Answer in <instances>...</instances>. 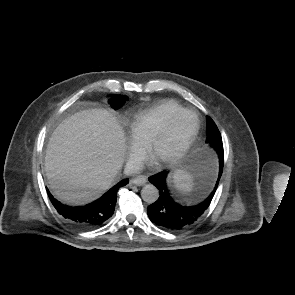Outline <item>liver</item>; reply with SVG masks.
Instances as JSON below:
<instances>
[{
    "label": "liver",
    "instance_id": "obj_1",
    "mask_svg": "<svg viewBox=\"0 0 295 295\" xmlns=\"http://www.w3.org/2000/svg\"><path fill=\"white\" fill-rule=\"evenodd\" d=\"M125 137L105 109H89L65 119L46 149L45 172L53 194L69 205L88 204L104 194L121 170Z\"/></svg>",
    "mask_w": 295,
    "mask_h": 295
}]
</instances>
